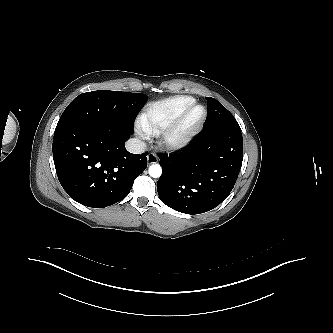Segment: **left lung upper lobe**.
<instances>
[{"instance_id": "5c2ea615", "label": "left lung upper lobe", "mask_w": 333, "mask_h": 333, "mask_svg": "<svg viewBox=\"0 0 333 333\" xmlns=\"http://www.w3.org/2000/svg\"><path fill=\"white\" fill-rule=\"evenodd\" d=\"M206 100L208 112L204 124L205 128L232 127L240 129L233 115L219 101L211 97H206Z\"/></svg>"}]
</instances>
